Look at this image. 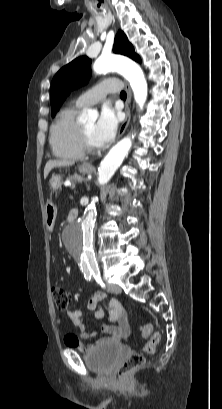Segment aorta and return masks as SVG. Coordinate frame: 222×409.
Segmentation results:
<instances>
[{
    "label": "aorta",
    "mask_w": 222,
    "mask_h": 409,
    "mask_svg": "<svg viewBox=\"0 0 222 409\" xmlns=\"http://www.w3.org/2000/svg\"><path fill=\"white\" fill-rule=\"evenodd\" d=\"M93 69L97 74L110 71L120 73L130 83L136 103L141 109L143 108L147 98V82L142 69L134 61L116 55L101 56L95 61ZM94 116L95 113L89 110L85 119L87 120ZM133 137L132 135V137L128 136L122 139L111 148L101 161L98 170V182L100 185L106 184L120 167L131 148V138L133 139ZM95 218L96 207L95 199L93 198L85 210L84 217L72 224L67 230L68 250L79 259L85 269L90 271L97 269L93 248Z\"/></svg>",
    "instance_id": "obj_1"
}]
</instances>
